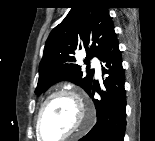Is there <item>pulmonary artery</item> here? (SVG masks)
<instances>
[{
	"label": "pulmonary artery",
	"instance_id": "pulmonary-artery-1",
	"mask_svg": "<svg viewBox=\"0 0 155 141\" xmlns=\"http://www.w3.org/2000/svg\"><path fill=\"white\" fill-rule=\"evenodd\" d=\"M92 64H93V65L95 66V68H96V73H97V75L100 76V74H101V68H100L99 60L96 59V58L92 59Z\"/></svg>",
	"mask_w": 155,
	"mask_h": 141
}]
</instances>
